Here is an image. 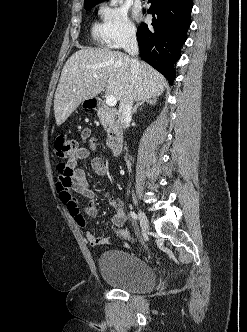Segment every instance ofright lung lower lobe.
<instances>
[{
	"instance_id": "obj_1",
	"label": "right lung lower lobe",
	"mask_w": 247,
	"mask_h": 332,
	"mask_svg": "<svg viewBox=\"0 0 247 332\" xmlns=\"http://www.w3.org/2000/svg\"><path fill=\"white\" fill-rule=\"evenodd\" d=\"M150 25L137 32L141 58L162 73L170 84L175 79L174 63L180 58L191 24L192 0H149Z\"/></svg>"
}]
</instances>
